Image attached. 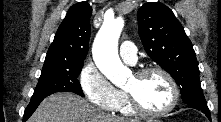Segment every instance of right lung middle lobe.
<instances>
[{
  "label": "right lung middle lobe",
  "mask_w": 221,
  "mask_h": 122,
  "mask_svg": "<svg viewBox=\"0 0 221 122\" xmlns=\"http://www.w3.org/2000/svg\"><path fill=\"white\" fill-rule=\"evenodd\" d=\"M84 61L44 62L41 76L31 101L43 99L53 93L68 91L84 96L77 79Z\"/></svg>",
  "instance_id": "obj_1"
}]
</instances>
